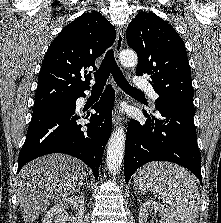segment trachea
Returning <instances> with one entry per match:
<instances>
[{"label":"trachea","instance_id":"obj_1","mask_svg":"<svg viewBox=\"0 0 221 223\" xmlns=\"http://www.w3.org/2000/svg\"><path fill=\"white\" fill-rule=\"evenodd\" d=\"M110 73L113 75V78L117 85L125 92L142 95L144 94L142 91L131 86L129 82L125 79L122 71L120 70L115 61L112 49L107 51L99 70L94 74L95 84L93 87L103 88Z\"/></svg>","mask_w":221,"mask_h":223}]
</instances>
